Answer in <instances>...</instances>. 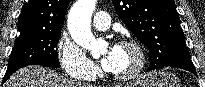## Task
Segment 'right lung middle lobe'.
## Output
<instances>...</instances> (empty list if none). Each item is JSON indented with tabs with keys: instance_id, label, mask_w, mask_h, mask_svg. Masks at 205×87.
<instances>
[{
	"instance_id": "dd1d6c3e",
	"label": "right lung middle lobe",
	"mask_w": 205,
	"mask_h": 87,
	"mask_svg": "<svg viewBox=\"0 0 205 87\" xmlns=\"http://www.w3.org/2000/svg\"><path fill=\"white\" fill-rule=\"evenodd\" d=\"M61 30H31L20 32L15 40L8 65L23 62L59 68L57 50Z\"/></svg>"
}]
</instances>
